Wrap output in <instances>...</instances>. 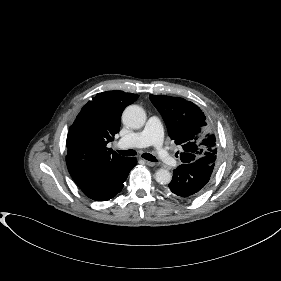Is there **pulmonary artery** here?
Instances as JSON below:
<instances>
[{
  "label": "pulmonary artery",
  "instance_id": "1",
  "mask_svg": "<svg viewBox=\"0 0 281 281\" xmlns=\"http://www.w3.org/2000/svg\"><path fill=\"white\" fill-rule=\"evenodd\" d=\"M163 128L159 117L151 116L145 127L136 133L121 137L117 143L120 148L146 147L154 145L158 157L167 165L175 164V159L165 148H162Z\"/></svg>",
  "mask_w": 281,
  "mask_h": 281
}]
</instances>
